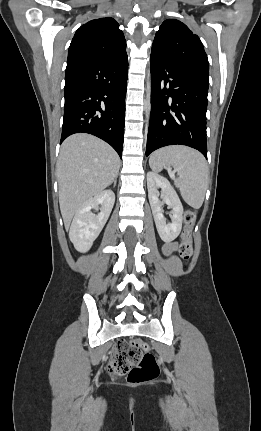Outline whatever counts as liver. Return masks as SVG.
<instances>
[{"label": "liver", "mask_w": 261, "mask_h": 431, "mask_svg": "<svg viewBox=\"0 0 261 431\" xmlns=\"http://www.w3.org/2000/svg\"><path fill=\"white\" fill-rule=\"evenodd\" d=\"M120 158L101 139L86 133L68 137L61 145L57 162L59 205L66 228L77 210L111 185Z\"/></svg>", "instance_id": "1"}]
</instances>
